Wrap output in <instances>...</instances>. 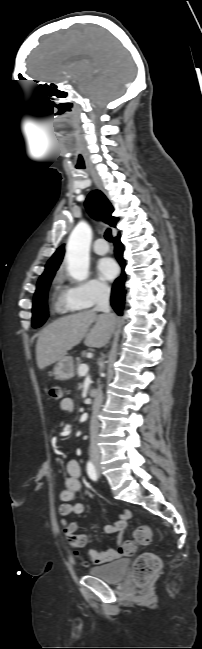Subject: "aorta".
Segmentation results:
<instances>
[{"instance_id":"aorta-1","label":"aorta","mask_w":202,"mask_h":649,"mask_svg":"<svg viewBox=\"0 0 202 649\" xmlns=\"http://www.w3.org/2000/svg\"><path fill=\"white\" fill-rule=\"evenodd\" d=\"M92 230L85 222H80L72 231L66 252L67 270L77 281L85 280L89 275V249Z\"/></svg>"}]
</instances>
